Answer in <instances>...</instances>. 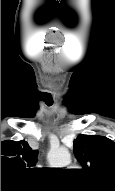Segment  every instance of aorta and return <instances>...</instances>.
I'll list each match as a JSON object with an SVG mask.
<instances>
[{
	"instance_id": "1",
	"label": "aorta",
	"mask_w": 115,
	"mask_h": 191,
	"mask_svg": "<svg viewBox=\"0 0 115 191\" xmlns=\"http://www.w3.org/2000/svg\"><path fill=\"white\" fill-rule=\"evenodd\" d=\"M49 161L53 166L63 167L71 163V154L68 150L59 149L50 152Z\"/></svg>"
}]
</instances>
